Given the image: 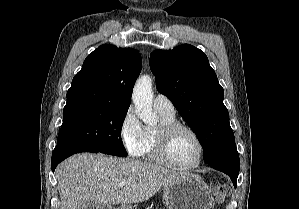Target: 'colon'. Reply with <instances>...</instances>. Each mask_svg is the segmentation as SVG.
Returning a JSON list of instances; mask_svg holds the SVG:
<instances>
[{
	"mask_svg": "<svg viewBox=\"0 0 299 209\" xmlns=\"http://www.w3.org/2000/svg\"><path fill=\"white\" fill-rule=\"evenodd\" d=\"M214 199L217 203H221L230 194V187L224 183L215 182L211 185Z\"/></svg>",
	"mask_w": 299,
	"mask_h": 209,
	"instance_id": "1",
	"label": "colon"
}]
</instances>
